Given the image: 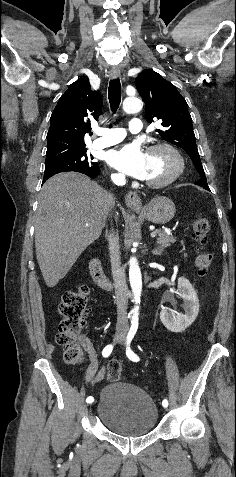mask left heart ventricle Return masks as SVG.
<instances>
[{
	"label": "left heart ventricle",
	"mask_w": 236,
	"mask_h": 477,
	"mask_svg": "<svg viewBox=\"0 0 236 477\" xmlns=\"http://www.w3.org/2000/svg\"><path fill=\"white\" fill-rule=\"evenodd\" d=\"M175 160L165 151L147 153L146 180L158 181L168 177L175 170Z\"/></svg>",
	"instance_id": "left-heart-ventricle-1"
}]
</instances>
